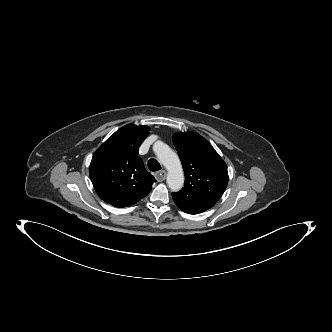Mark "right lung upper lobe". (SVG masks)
<instances>
[{
	"label": "right lung upper lobe",
	"mask_w": 332,
	"mask_h": 332,
	"mask_svg": "<svg viewBox=\"0 0 332 332\" xmlns=\"http://www.w3.org/2000/svg\"><path fill=\"white\" fill-rule=\"evenodd\" d=\"M149 130L125 125L95 151L89 173L95 191L106 203L118 208L132 206L150 192L156 180L138 156Z\"/></svg>",
	"instance_id": "obj_1"
}]
</instances>
